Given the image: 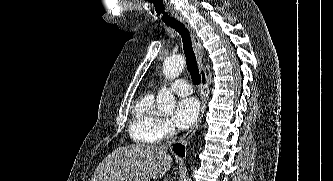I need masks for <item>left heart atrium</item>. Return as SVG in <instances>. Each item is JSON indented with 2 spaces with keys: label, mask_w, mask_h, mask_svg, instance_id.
I'll list each match as a JSON object with an SVG mask.
<instances>
[{
  "label": "left heart atrium",
  "mask_w": 333,
  "mask_h": 181,
  "mask_svg": "<svg viewBox=\"0 0 333 181\" xmlns=\"http://www.w3.org/2000/svg\"><path fill=\"white\" fill-rule=\"evenodd\" d=\"M199 103L194 98H184L178 101L173 114V122L180 129L193 125L199 116Z\"/></svg>",
  "instance_id": "39dd6f15"
}]
</instances>
